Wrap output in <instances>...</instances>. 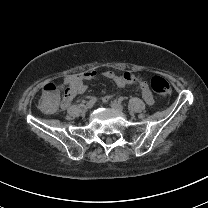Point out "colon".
I'll return each instance as SVG.
<instances>
[{
	"label": "colon",
	"mask_w": 208,
	"mask_h": 208,
	"mask_svg": "<svg viewBox=\"0 0 208 208\" xmlns=\"http://www.w3.org/2000/svg\"><path fill=\"white\" fill-rule=\"evenodd\" d=\"M150 85L154 92L160 97H169L171 87L169 82L161 77L155 76L151 79ZM70 94V87L67 84L48 83L44 87V97L42 107L47 112H54L62 107L60 97H67Z\"/></svg>",
	"instance_id": "obj_1"
}]
</instances>
